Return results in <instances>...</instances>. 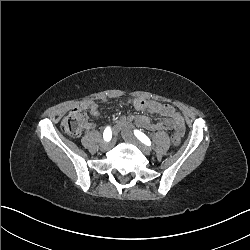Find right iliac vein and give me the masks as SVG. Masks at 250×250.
<instances>
[{
    "mask_svg": "<svg viewBox=\"0 0 250 250\" xmlns=\"http://www.w3.org/2000/svg\"><path fill=\"white\" fill-rule=\"evenodd\" d=\"M114 142H115V140H113L111 142H102L101 148L103 150H107V149H109V148H111L113 146Z\"/></svg>",
    "mask_w": 250,
    "mask_h": 250,
    "instance_id": "63e3f726",
    "label": "right iliac vein"
}]
</instances>
